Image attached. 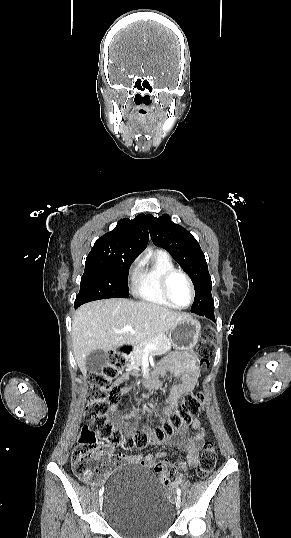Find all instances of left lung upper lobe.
<instances>
[{"label":"left lung upper lobe","mask_w":291,"mask_h":538,"mask_svg":"<svg viewBox=\"0 0 291 538\" xmlns=\"http://www.w3.org/2000/svg\"><path fill=\"white\" fill-rule=\"evenodd\" d=\"M153 243L166 249L191 278L195 298L191 310L214 305L211 295L212 282L207 262L199 243L182 226L171 221L167 214L159 218L146 215Z\"/></svg>","instance_id":"1"}]
</instances>
